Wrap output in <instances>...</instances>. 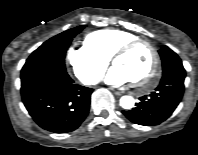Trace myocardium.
<instances>
[{"label": "myocardium", "mask_w": 198, "mask_h": 155, "mask_svg": "<svg viewBox=\"0 0 198 155\" xmlns=\"http://www.w3.org/2000/svg\"><path fill=\"white\" fill-rule=\"evenodd\" d=\"M139 44L147 45L149 49L151 50V53L153 56V65H152L151 71L148 73L146 78L142 81L134 82V85L136 87L140 88L144 92H147L157 84L159 72H160V66H161L160 55L153 42L147 39H142L138 37L131 39L123 43L113 52L111 56V62L114 63L116 58L127 54L129 51H131L135 46Z\"/></svg>", "instance_id": "f54148a6"}]
</instances>
